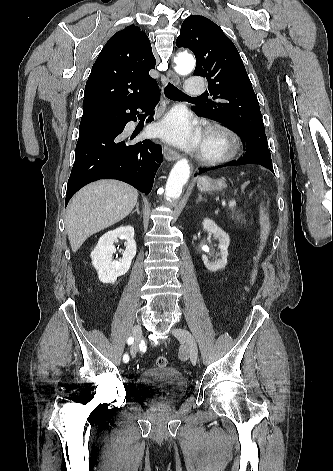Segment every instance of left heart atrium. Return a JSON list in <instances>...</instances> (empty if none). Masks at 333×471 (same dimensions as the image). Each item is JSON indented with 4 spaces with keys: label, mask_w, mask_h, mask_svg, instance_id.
Masks as SVG:
<instances>
[{
    "label": "left heart atrium",
    "mask_w": 333,
    "mask_h": 471,
    "mask_svg": "<svg viewBox=\"0 0 333 471\" xmlns=\"http://www.w3.org/2000/svg\"><path fill=\"white\" fill-rule=\"evenodd\" d=\"M158 134L187 149H195L202 144L200 130L187 114L181 111L169 114L158 126Z\"/></svg>",
    "instance_id": "1"
}]
</instances>
